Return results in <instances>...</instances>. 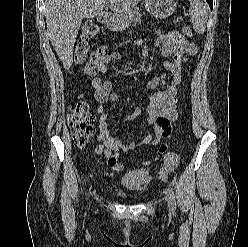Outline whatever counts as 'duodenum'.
Wrapping results in <instances>:
<instances>
[{"label":"duodenum","mask_w":248,"mask_h":247,"mask_svg":"<svg viewBox=\"0 0 248 247\" xmlns=\"http://www.w3.org/2000/svg\"><path fill=\"white\" fill-rule=\"evenodd\" d=\"M99 18L102 23H109L112 20V17L109 13H101Z\"/></svg>","instance_id":"duodenum-1"}]
</instances>
